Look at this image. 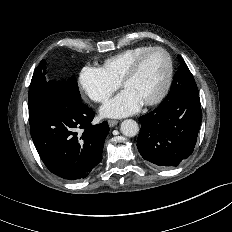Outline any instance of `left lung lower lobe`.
<instances>
[{"instance_id": "1", "label": "left lung lower lobe", "mask_w": 232, "mask_h": 232, "mask_svg": "<svg viewBox=\"0 0 232 232\" xmlns=\"http://www.w3.org/2000/svg\"><path fill=\"white\" fill-rule=\"evenodd\" d=\"M201 121L199 96L170 90L155 110L140 117L137 148L156 167H176L192 154Z\"/></svg>"}]
</instances>
